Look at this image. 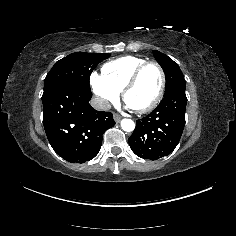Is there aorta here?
<instances>
[{
  "mask_svg": "<svg viewBox=\"0 0 236 236\" xmlns=\"http://www.w3.org/2000/svg\"><path fill=\"white\" fill-rule=\"evenodd\" d=\"M121 128L124 131L131 132L135 128V123L131 119H122V121H121Z\"/></svg>",
  "mask_w": 236,
  "mask_h": 236,
  "instance_id": "obj_1",
  "label": "aorta"
}]
</instances>
